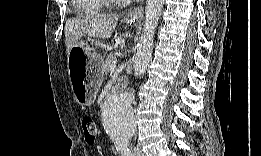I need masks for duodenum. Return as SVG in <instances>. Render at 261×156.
Listing matches in <instances>:
<instances>
[{
  "instance_id": "1",
  "label": "duodenum",
  "mask_w": 261,
  "mask_h": 156,
  "mask_svg": "<svg viewBox=\"0 0 261 156\" xmlns=\"http://www.w3.org/2000/svg\"><path fill=\"white\" fill-rule=\"evenodd\" d=\"M123 85H124L123 82H119V83H118V87H122Z\"/></svg>"
}]
</instances>
